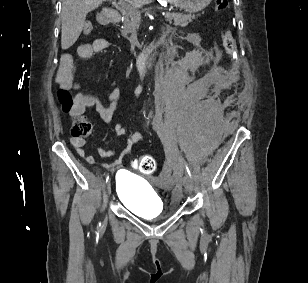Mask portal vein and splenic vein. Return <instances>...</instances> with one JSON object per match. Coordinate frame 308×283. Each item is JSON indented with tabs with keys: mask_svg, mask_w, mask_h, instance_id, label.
I'll return each instance as SVG.
<instances>
[{
	"mask_svg": "<svg viewBox=\"0 0 308 283\" xmlns=\"http://www.w3.org/2000/svg\"><path fill=\"white\" fill-rule=\"evenodd\" d=\"M126 2L129 3V0H119L117 2V4L119 6H121L123 10L135 11L137 6H135V5L131 4V3L127 4ZM163 15H165V17H169L171 15H174V13L165 12V13H163Z\"/></svg>",
	"mask_w": 308,
	"mask_h": 283,
	"instance_id": "obj_1",
	"label": "portal vein and splenic vein"
}]
</instances>
